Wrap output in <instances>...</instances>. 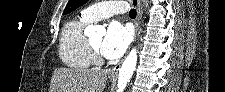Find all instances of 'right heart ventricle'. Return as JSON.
Returning <instances> with one entry per match:
<instances>
[{"mask_svg":"<svg viewBox=\"0 0 225 92\" xmlns=\"http://www.w3.org/2000/svg\"><path fill=\"white\" fill-rule=\"evenodd\" d=\"M91 22L82 15L69 20L63 27L59 38L58 55L61 61L73 68L87 69L93 63L86 37L85 27Z\"/></svg>","mask_w":225,"mask_h":92,"instance_id":"right-heart-ventricle-1","label":"right heart ventricle"}]
</instances>
